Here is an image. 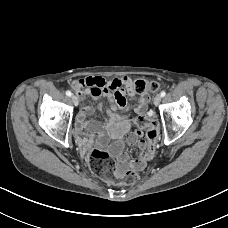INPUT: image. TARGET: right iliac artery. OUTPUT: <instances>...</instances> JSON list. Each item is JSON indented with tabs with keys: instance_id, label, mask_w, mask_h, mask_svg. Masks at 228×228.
I'll return each instance as SVG.
<instances>
[{
	"instance_id": "82829eb1",
	"label": "right iliac artery",
	"mask_w": 228,
	"mask_h": 228,
	"mask_svg": "<svg viewBox=\"0 0 228 228\" xmlns=\"http://www.w3.org/2000/svg\"><path fill=\"white\" fill-rule=\"evenodd\" d=\"M66 95L71 97L72 93L68 90V91H66Z\"/></svg>"
}]
</instances>
